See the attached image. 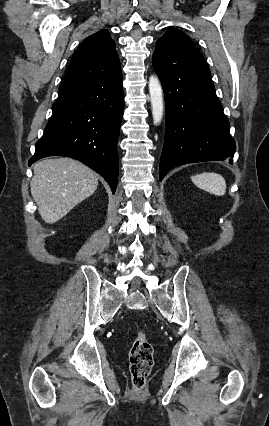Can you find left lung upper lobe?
Instances as JSON below:
<instances>
[{"mask_svg":"<svg viewBox=\"0 0 269 426\" xmlns=\"http://www.w3.org/2000/svg\"><path fill=\"white\" fill-rule=\"evenodd\" d=\"M157 41L196 48L191 39L185 33L177 29L168 30Z\"/></svg>","mask_w":269,"mask_h":426,"instance_id":"5c2ea615","label":"left lung upper lobe"}]
</instances>
